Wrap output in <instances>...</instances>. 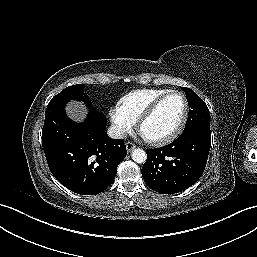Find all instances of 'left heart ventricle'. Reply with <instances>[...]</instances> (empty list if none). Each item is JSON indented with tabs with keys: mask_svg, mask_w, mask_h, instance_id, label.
I'll return each instance as SVG.
<instances>
[{
	"mask_svg": "<svg viewBox=\"0 0 257 257\" xmlns=\"http://www.w3.org/2000/svg\"><path fill=\"white\" fill-rule=\"evenodd\" d=\"M183 110L182 97L178 94L169 96L143 124L142 135L149 139H157L170 134L179 124Z\"/></svg>",
	"mask_w": 257,
	"mask_h": 257,
	"instance_id": "1",
	"label": "left heart ventricle"
}]
</instances>
